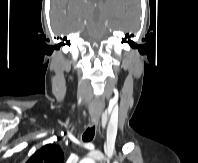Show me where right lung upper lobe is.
<instances>
[{
    "instance_id": "right-lung-upper-lobe-1",
    "label": "right lung upper lobe",
    "mask_w": 198,
    "mask_h": 163,
    "mask_svg": "<svg viewBox=\"0 0 198 163\" xmlns=\"http://www.w3.org/2000/svg\"><path fill=\"white\" fill-rule=\"evenodd\" d=\"M64 157L59 146L47 144L35 152L26 163H63Z\"/></svg>"
}]
</instances>
